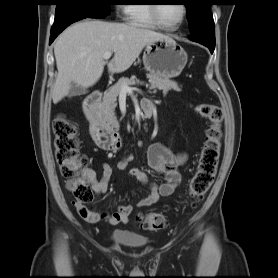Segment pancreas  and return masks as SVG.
Returning a JSON list of instances; mask_svg holds the SVG:
<instances>
[{"mask_svg":"<svg viewBox=\"0 0 278 278\" xmlns=\"http://www.w3.org/2000/svg\"><path fill=\"white\" fill-rule=\"evenodd\" d=\"M147 77L150 82L149 89L153 90V93H156L157 90H162L163 92H168L170 90H181L178 84L169 78L152 74H148ZM134 83V78L129 79L123 77L104 93L103 102L100 106V114L105 121L109 122L110 124L116 123L115 108L117 106V97L121 93V86L124 84L132 85Z\"/></svg>","mask_w":278,"mask_h":278,"instance_id":"1","label":"pancreas"}]
</instances>
